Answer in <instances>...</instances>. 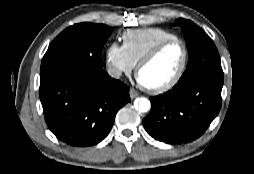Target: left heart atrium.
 Listing matches in <instances>:
<instances>
[{
    "instance_id": "39dd6f15",
    "label": "left heart atrium",
    "mask_w": 254,
    "mask_h": 174,
    "mask_svg": "<svg viewBox=\"0 0 254 174\" xmlns=\"http://www.w3.org/2000/svg\"><path fill=\"white\" fill-rule=\"evenodd\" d=\"M137 80H138V81H140V80H139V77H138V79H137ZM140 82H141V81H140ZM141 83H142V82H141Z\"/></svg>"
}]
</instances>
